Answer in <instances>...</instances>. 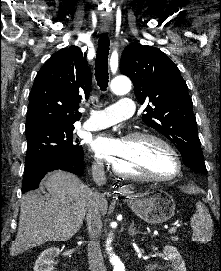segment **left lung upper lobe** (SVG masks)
Returning a JSON list of instances; mask_svg holds the SVG:
<instances>
[{"label":"left lung upper lobe","instance_id":"5c2ea615","mask_svg":"<svg viewBox=\"0 0 221 271\" xmlns=\"http://www.w3.org/2000/svg\"><path fill=\"white\" fill-rule=\"evenodd\" d=\"M120 71L132 80L139 103H151L142 120L177 146L186 166L207 174L192 99L177 66L159 49L133 43L122 53Z\"/></svg>","mask_w":221,"mask_h":271}]
</instances>
